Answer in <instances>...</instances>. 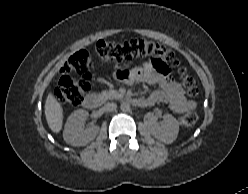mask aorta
<instances>
[{
  "mask_svg": "<svg viewBox=\"0 0 248 194\" xmlns=\"http://www.w3.org/2000/svg\"><path fill=\"white\" fill-rule=\"evenodd\" d=\"M120 108L123 112H128L130 111V104L128 102H123L121 103Z\"/></svg>",
  "mask_w": 248,
  "mask_h": 194,
  "instance_id": "aorta-1",
  "label": "aorta"
}]
</instances>
